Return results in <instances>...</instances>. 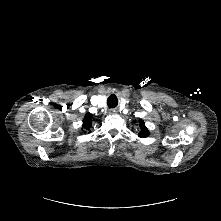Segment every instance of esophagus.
Instances as JSON below:
<instances>
[{"label":"esophagus","mask_w":221,"mask_h":221,"mask_svg":"<svg viewBox=\"0 0 221 221\" xmlns=\"http://www.w3.org/2000/svg\"><path fill=\"white\" fill-rule=\"evenodd\" d=\"M110 112H111V113H115L116 110H115V109H111Z\"/></svg>","instance_id":"esophagus-1"}]
</instances>
